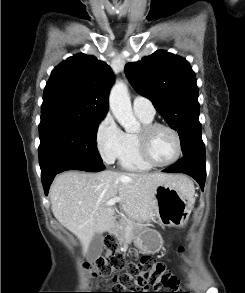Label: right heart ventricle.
<instances>
[{"label": "right heart ventricle", "instance_id": "obj_1", "mask_svg": "<svg viewBox=\"0 0 245 293\" xmlns=\"http://www.w3.org/2000/svg\"><path fill=\"white\" fill-rule=\"evenodd\" d=\"M143 125L153 123V117H145L137 115ZM137 134L127 133L126 134V146L123 153L119 157V165L122 169L127 171H148L152 167L145 163L139 155L137 147Z\"/></svg>", "mask_w": 245, "mask_h": 293}]
</instances>
